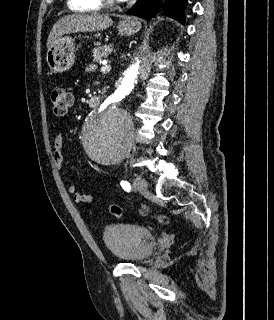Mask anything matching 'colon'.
I'll return each instance as SVG.
<instances>
[{
    "label": "colon",
    "mask_w": 274,
    "mask_h": 320,
    "mask_svg": "<svg viewBox=\"0 0 274 320\" xmlns=\"http://www.w3.org/2000/svg\"><path fill=\"white\" fill-rule=\"evenodd\" d=\"M50 102L53 107V113L56 116H63L67 113L68 108L72 104V98L69 92H67L63 87H54L51 89L49 95ZM108 212L112 213L116 219H120L123 216V209L117 205H109ZM147 210L143 209L142 212L145 213ZM157 219L160 222H167L168 218L165 215H158Z\"/></svg>",
    "instance_id": "colon-1"
}]
</instances>
